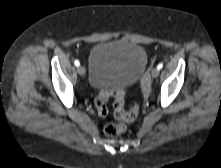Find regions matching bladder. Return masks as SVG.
<instances>
[{"mask_svg": "<svg viewBox=\"0 0 221 168\" xmlns=\"http://www.w3.org/2000/svg\"><path fill=\"white\" fill-rule=\"evenodd\" d=\"M147 62L145 49L136 43L100 42L89 54V82L101 90L129 87L142 76Z\"/></svg>", "mask_w": 221, "mask_h": 168, "instance_id": "obj_1", "label": "bladder"}]
</instances>
